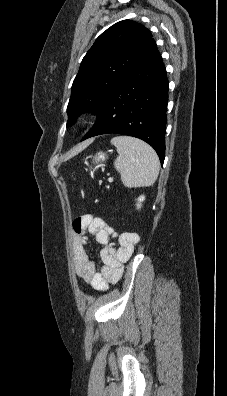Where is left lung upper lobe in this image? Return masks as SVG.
Wrapping results in <instances>:
<instances>
[{
  "label": "left lung upper lobe",
  "mask_w": 227,
  "mask_h": 396,
  "mask_svg": "<svg viewBox=\"0 0 227 396\" xmlns=\"http://www.w3.org/2000/svg\"><path fill=\"white\" fill-rule=\"evenodd\" d=\"M155 47L150 31L131 20L120 21L103 32L83 58L74 79L67 127L82 112L97 114L107 97Z\"/></svg>",
  "instance_id": "left-lung-upper-lobe-1"
}]
</instances>
